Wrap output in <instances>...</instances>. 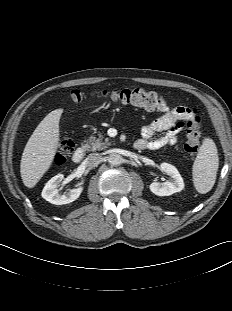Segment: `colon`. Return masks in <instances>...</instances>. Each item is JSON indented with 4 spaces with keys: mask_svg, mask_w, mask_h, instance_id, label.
I'll use <instances>...</instances> for the list:
<instances>
[{
    "mask_svg": "<svg viewBox=\"0 0 232 311\" xmlns=\"http://www.w3.org/2000/svg\"><path fill=\"white\" fill-rule=\"evenodd\" d=\"M100 96L109 95L113 100L122 104L143 108L150 111H161L164 106V99L155 92L146 91L142 88H126L115 90L110 93H100ZM83 95L79 91H73L69 96V101L78 103L82 100ZM199 115L196 109H191V114L186 122L187 141L184 150L189 157H194L199 150ZM74 143L72 140L63 139L54 156V164L61 166L66 162L67 156L73 151Z\"/></svg>",
    "mask_w": 232,
    "mask_h": 311,
    "instance_id": "colon-1",
    "label": "colon"
}]
</instances>
